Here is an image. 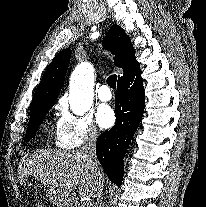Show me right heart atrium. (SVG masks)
<instances>
[{
    "instance_id": "d8ad5b80",
    "label": "right heart atrium",
    "mask_w": 206,
    "mask_h": 207,
    "mask_svg": "<svg viewBox=\"0 0 206 207\" xmlns=\"http://www.w3.org/2000/svg\"><path fill=\"white\" fill-rule=\"evenodd\" d=\"M99 132L89 114H74L62 105L57 126V144L61 148L88 147L96 143Z\"/></svg>"
}]
</instances>
